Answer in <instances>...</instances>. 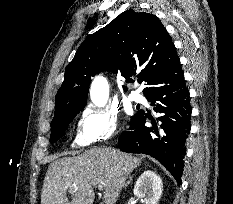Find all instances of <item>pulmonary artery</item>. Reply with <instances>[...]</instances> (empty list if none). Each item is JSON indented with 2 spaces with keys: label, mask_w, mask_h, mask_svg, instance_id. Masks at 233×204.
<instances>
[{
  "label": "pulmonary artery",
  "mask_w": 233,
  "mask_h": 204,
  "mask_svg": "<svg viewBox=\"0 0 233 204\" xmlns=\"http://www.w3.org/2000/svg\"><path fill=\"white\" fill-rule=\"evenodd\" d=\"M129 99L131 101H135V102H142L143 101L142 95L139 94V92H137V91H131L129 93Z\"/></svg>",
  "instance_id": "e3ab8cb5"
}]
</instances>
